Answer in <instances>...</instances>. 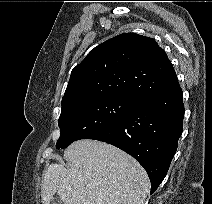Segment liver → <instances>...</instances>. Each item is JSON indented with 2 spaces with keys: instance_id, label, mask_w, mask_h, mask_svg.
Segmentation results:
<instances>
[{
  "instance_id": "1",
  "label": "liver",
  "mask_w": 212,
  "mask_h": 204,
  "mask_svg": "<svg viewBox=\"0 0 212 204\" xmlns=\"http://www.w3.org/2000/svg\"><path fill=\"white\" fill-rule=\"evenodd\" d=\"M70 168L51 164L42 177V204L55 193L64 204H143L150 181L143 167L121 149L82 139L64 152Z\"/></svg>"
}]
</instances>
